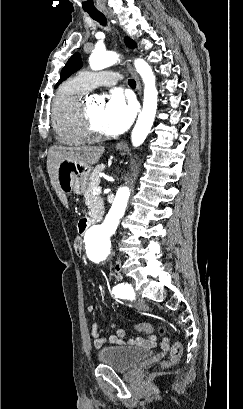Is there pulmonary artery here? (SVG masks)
Returning a JSON list of instances; mask_svg holds the SVG:
<instances>
[{"label":"pulmonary artery","mask_w":243,"mask_h":409,"mask_svg":"<svg viewBox=\"0 0 243 409\" xmlns=\"http://www.w3.org/2000/svg\"><path fill=\"white\" fill-rule=\"evenodd\" d=\"M79 77L90 89L98 86L110 87L118 80V74L113 71L82 72Z\"/></svg>","instance_id":"pulmonary-artery-1"}]
</instances>
